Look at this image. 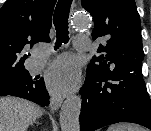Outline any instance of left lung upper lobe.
<instances>
[{"instance_id": "obj_1", "label": "left lung upper lobe", "mask_w": 151, "mask_h": 131, "mask_svg": "<svg viewBox=\"0 0 151 131\" xmlns=\"http://www.w3.org/2000/svg\"><path fill=\"white\" fill-rule=\"evenodd\" d=\"M94 19L92 38L104 40L87 68V73L108 78L142 67L144 58L141 21L134 0H82Z\"/></svg>"}]
</instances>
